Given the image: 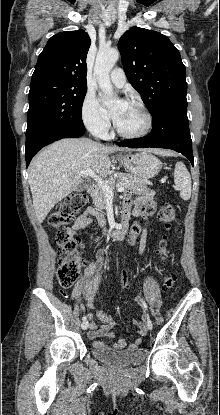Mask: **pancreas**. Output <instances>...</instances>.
<instances>
[{"label":"pancreas","mask_w":220,"mask_h":415,"mask_svg":"<svg viewBox=\"0 0 220 415\" xmlns=\"http://www.w3.org/2000/svg\"><path fill=\"white\" fill-rule=\"evenodd\" d=\"M107 182L110 186H112V188H114L115 179L113 177H110ZM117 185H121L125 189L137 191L143 188L144 185H152V183L147 179H142L131 174L118 173ZM91 196L93 198V203L99 210L106 208V195L99 184L94 187L91 192Z\"/></svg>","instance_id":"obj_1"}]
</instances>
